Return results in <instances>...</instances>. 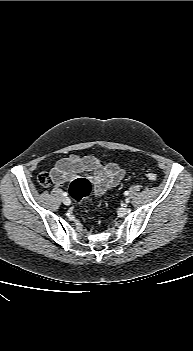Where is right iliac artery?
I'll return each mask as SVG.
<instances>
[{
	"label": "right iliac artery",
	"instance_id": "obj_1",
	"mask_svg": "<svg viewBox=\"0 0 193 351\" xmlns=\"http://www.w3.org/2000/svg\"><path fill=\"white\" fill-rule=\"evenodd\" d=\"M68 194H67V192H63V196H67Z\"/></svg>",
	"mask_w": 193,
	"mask_h": 351
}]
</instances>
